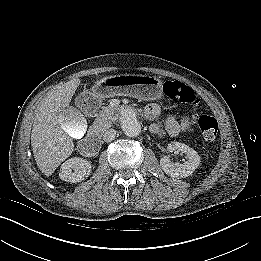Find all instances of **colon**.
<instances>
[{
    "label": "colon",
    "instance_id": "1",
    "mask_svg": "<svg viewBox=\"0 0 261 261\" xmlns=\"http://www.w3.org/2000/svg\"><path fill=\"white\" fill-rule=\"evenodd\" d=\"M164 93L174 101L191 105L196 108L199 105V99L195 92L187 85L179 81H167L164 84ZM194 122L200 128L203 138L206 142H213L218 134V123L216 119L209 115H193Z\"/></svg>",
    "mask_w": 261,
    "mask_h": 261
}]
</instances>
